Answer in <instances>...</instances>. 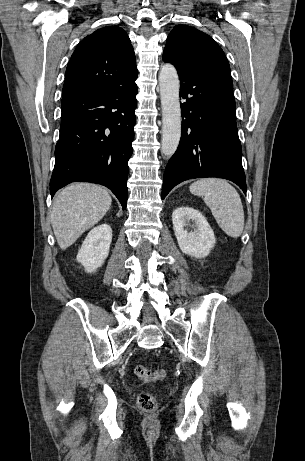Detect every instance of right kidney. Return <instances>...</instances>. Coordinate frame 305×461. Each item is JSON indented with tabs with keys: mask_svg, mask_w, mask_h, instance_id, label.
Segmentation results:
<instances>
[{
	"mask_svg": "<svg viewBox=\"0 0 305 461\" xmlns=\"http://www.w3.org/2000/svg\"><path fill=\"white\" fill-rule=\"evenodd\" d=\"M111 241L112 229L108 224H101L88 233L77 254V261L86 272L93 273L102 266L108 257Z\"/></svg>",
	"mask_w": 305,
	"mask_h": 461,
	"instance_id": "ca27d5eb",
	"label": "right kidney"
}]
</instances>
